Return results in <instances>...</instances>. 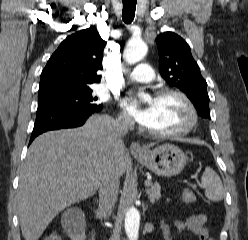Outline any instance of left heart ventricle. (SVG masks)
Masks as SVG:
<instances>
[{"mask_svg":"<svg viewBox=\"0 0 248 240\" xmlns=\"http://www.w3.org/2000/svg\"><path fill=\"white\" fill-rule=\"evenodd\" d=\"M150 104L154 109V119L148 127L150 130L171 132L184 127L189 121L188 110L177 96L155 97Z\"/></svg>","mask_w":248,"mask_h":240,"instance_id":"1","label":"left heart ventricle"}]
</instances>
